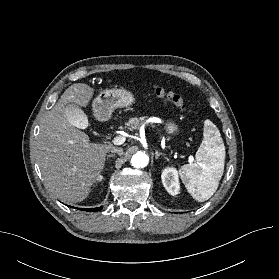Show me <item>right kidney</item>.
Returning <instances> with one entry per match:
<instances>
[{
	"mask_svg": "<svg viewBox=\"0 0 279 279\" xmlns=\"http://www.w3.org/2000/svg\"><path fill=\"white\" fill-rule=\"evenodd\" d=\"M102 179H103V176H101V175H99L97 178V180H99V181H102Z\"/></svg>",
	"mask_w": 279,
	"mask_h": 279,
	"instance_id": "1",
	"label": "right kidney"
}]
</instances>
